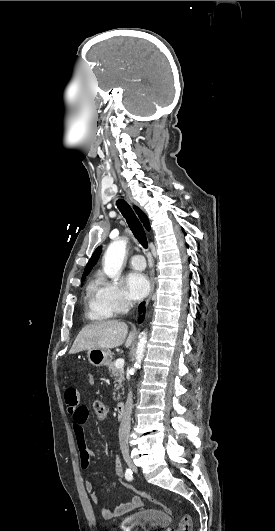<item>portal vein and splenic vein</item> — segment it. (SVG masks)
Segmentation results:
<instances>
[{"label": "portal vein and splenic vein", "instance_id": "1", "mask_svg": "<svg viewBox=\"0 0 275 531\" xmlns=\"http://www.w3.org/2000/svg\"><path fill=\"white\" fill-rule=\"evenodd\" d=\"M123 365H124V359H117L115 363L116 369H122Z\"/></svg>", "mask_w": 275, "mask_h": 531}]
</instances>
